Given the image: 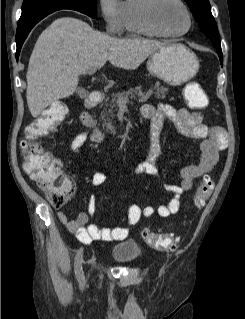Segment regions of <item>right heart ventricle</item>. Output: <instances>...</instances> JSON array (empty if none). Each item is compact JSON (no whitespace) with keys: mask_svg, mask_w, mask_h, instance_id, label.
Instances as JSON below:
<instances>
[{"mask_svg":"<svg viewBox=\"0 0 245 319\" xmlns=\"http://www.w3.org/2000/svg\"><path fill=\"white\" fill-rule=\"evenodd\" d=\"M144 0H124L122 2L123 31L130 35H158L148 29L141 16Z\"/></svg>","mask_w":245,"mask_h":319,"instance_id":"obj_1","label":"right heart ventricle"}]
</instances>
